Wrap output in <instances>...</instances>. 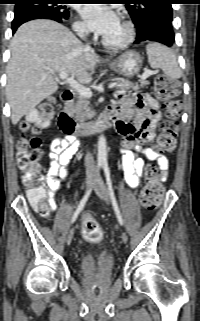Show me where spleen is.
Returning <instances> with one entry per match:
<instances>
[{
    "mask_svg": "<svg viewBox=\"0 0 200 321\" xmlns=\"http://www.w3.org/2000/svg\"><path fill=\"white\" fill-rule=\"evenodd\" d=\"M146 53L151 68L162 69L171 79L182 76L176 55L170 48L160 43H149L146 46Z\"/></svg>",
    "mask_w": 200,
    "mask_h": 321,
    "instance_id": "1",
    "label": "spleen"
}]
</instances>
